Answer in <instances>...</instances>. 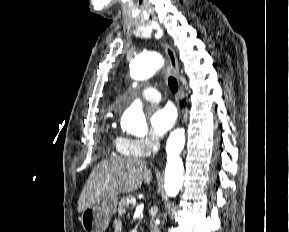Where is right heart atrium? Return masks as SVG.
I'll use <instances>...</instances> for the list:
<instances>
[{
    "label": "right heart atrium",
    "mask_w": 289,
    "mask_h": 232,
    "mask_svg": "<svg viewBox=\"0 0 289 232\" xmlns=\"http://www.w3.org/2000/svg\"><path fill=\"white\" fill-rule=\"evenodd\" d=\"M157 144L158 142L153 136L123 138L122 149L131 156L144 157L151 154Z\"/></svg>",
    "instance_id": "right-heart-atrium-1"
}]
</instances>
